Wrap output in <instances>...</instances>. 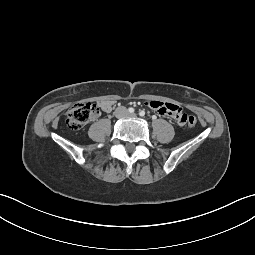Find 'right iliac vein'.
<instances>
[{"instance_id": "right-iliac-vein-1", "label": "right iliac vein", "mask_w": 255, "mask_h": 255, "mask_svg": "<svg viewBox=\"0 0 255 255\" xmlns=\"http://www.w3.org/2000/svg\"><path fill=\"white\" fill-rule=\"evenodd\" d=\"M126 114V111L124 108L120 107L115 111L116 117H123Z\"/></svg>"}]
</instances>
